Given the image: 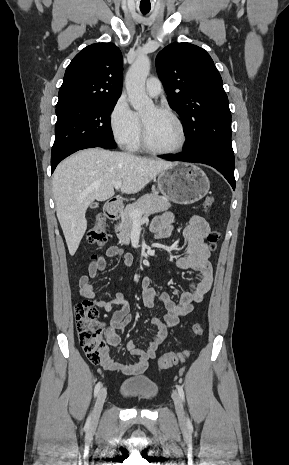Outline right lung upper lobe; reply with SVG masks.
I'll use <instances>...</instances> for the list:
<instances>
[{"label":"right lung upper lobe","instance_id":"right-lung-upper-lobe-1","mask_svg":"<svg viewBox=\"0 0 289 465\" xmlns=\"http://www.w3.org/2000/svg\"><path fill=\"white\" fill-rule=\"evenodd\" d=\"M122 87V54L112 43L85 47L66 69L56 107L118 99Z\"/></svg>","mask_w":289,"mask_h":465}]
</instances>
